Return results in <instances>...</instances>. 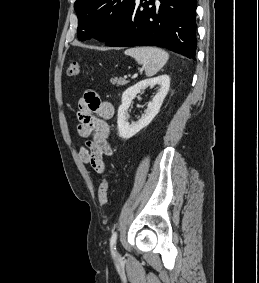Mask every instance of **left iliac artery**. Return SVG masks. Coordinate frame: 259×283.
Instances as JSON below:
<instances>
[{
  "label": "left iliac artery",
  "mask_w": 259,
  "mask_h": 283,
  "mask_svg": "<svg viewBox=\"0 0 259 283\" xmlns=\"http://www.w3.org/2000/svg\"><path fill=\"white\" fill-rule=\"evenodd\" d=\"M116 240H117V233L114 232L110 238V248H111V252L113 255H115V244H116Z\"/></svg>",
  "instance_id": "1"
}]
</instances>
